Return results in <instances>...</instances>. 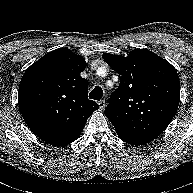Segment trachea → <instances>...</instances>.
Masks as SVG:
<instances>
[{
	"instance_id": "obj_1",
	"label": "trachea",
	"mask_w": 193,
	"mask_h": 193,
	"mask_svg": "<svg viewBox=\"0 0 193 193\" xmlns=\"http://www.w3.org/2000/svg\"><path fill=\"white\" fill-rule=\"evenodd\" d=\"M103 96V90L101 87L96 86L89 94V98L99 101Z\"/></svg>"
}]
</instances>
